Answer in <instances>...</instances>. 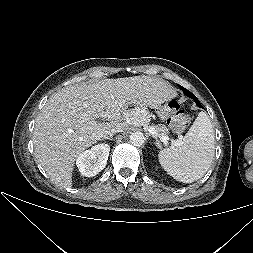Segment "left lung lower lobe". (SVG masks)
Masks as SVG:
<instances>
[{
  "mask_svg": "<svg viewBox=\"0 0 253 253\" xmlns=\"http://www.w3.org/2000/svg\"><path fill=\"white\" fill-rule=\"evenodd\" d=\"M189 97L195 100L197 106L203 108V106L200 104L199 100L191 92L189 94Z\"/></svg>",
  "mask_w": 253,
  "mask_h": 253,
  "instance_id": "obj_1",
  "label": "left lung lower lobe"
}]
</instances>
